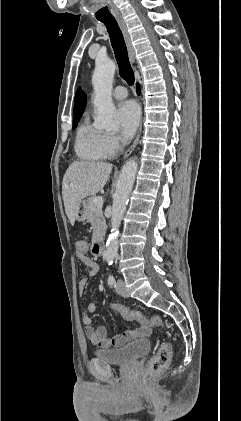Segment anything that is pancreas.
<instances>
[{
	"instance_id": "cf45deb5",
	"label": "pancreas",
	"mask_w": 241,
	"mask_h": 421,
	"mask_svg": "<svg viewBox=\"0 0 241 421\" xmlns=\"http://www.w3.org/2000/svg\"><path fill=\"white\" fill-rule=\"evenodd\" d=\"M94 197H90L87 201V221L91 223L93 228V238H101L106 232V221L103 216L102 208L93 204Z\"/></svg>"
}]
</instances>
